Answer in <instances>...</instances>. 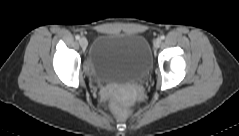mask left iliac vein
<instances>
[{"mask_svg": "<svg viewBox=\"0 0 239 136\" xmlns=\"http://www.w3.org/2000/svg\"><path fill=\"white\" fill-rule=\"evenodd\" d=\"M160 44H161V40L159 38H157L154 40L153 46L155 48H158L160 46Z\"/></svg>", "mask_w": 239, "mask_h": 136, "instance_id": "obj_1", "label": "left iliac vein"}]
</instances>
